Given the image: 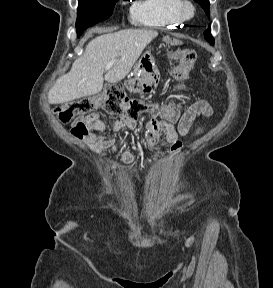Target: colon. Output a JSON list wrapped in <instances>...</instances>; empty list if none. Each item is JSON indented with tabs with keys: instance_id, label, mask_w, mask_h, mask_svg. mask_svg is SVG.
<instances>
[{
	"instance_id": "colon-1",
	"label": "colon",
	"mask_w": 273,
	"mask_h": 288,
	"mask_svg": "<svg viewBox=\"0 0 273 288\" xmlns=\"http://www.w3.org/2000/svg\"><path fill=\"white\" fill-rule=\"evenodd\" d=\"M172 56L179 61V65L173 70V75L177 80L183 81L188 78L196 62V52L189 48L179 49ZM102 104L104 108L112 114L135 115L138 111H149L156 117L167 119L171 122L179 118V110L175 105L160 106L152 104L143 106L135 101L125 99L117 89H109L101 98H81L55 109L54 114L62 123L74 121L72 134L82 138L88 134L91 122L85 118Z\"/></svg>"
}]
</instances>
